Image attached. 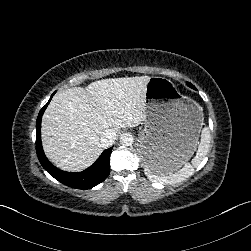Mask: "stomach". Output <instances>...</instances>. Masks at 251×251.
<instances>
[{
  "label": "stomach",
  "instance_id": "obj_1",
  "mask_svg": "<svg viewBox=\"0 0 251 251\" xmlns=\"http://www.w3.org/2000/svg\"><path fill=\"white\" fill-rule=\"evenodd\" d=\"M145 107L137 143L141 162L163 172L177 171L196 150L203 109L160 76L151 77L146 85Z\"/></svg>",
  "mask_w": 251,
  "mask_h": 251
}]
</instances>
